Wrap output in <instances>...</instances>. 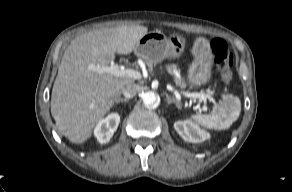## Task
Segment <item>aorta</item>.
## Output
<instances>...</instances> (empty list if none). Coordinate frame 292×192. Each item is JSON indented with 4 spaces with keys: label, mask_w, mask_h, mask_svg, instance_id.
<instances>
[{
    "label": "aorta",
    "mask_w": 292,
    "mask_h": 192,
    "mask_svg": "<svg viewBox=\"0 0 292 192\" xmlns=\"http://www.w3.org/2000/svg\"><path fill=\"white\" fill-rule=\"evenodd\" d=\"M143 103L148 108H156L160 103V98L152 91L145 92L142 96Z\"/></svg>",
    "instance_id": "obj_1"
}]
</instances>
